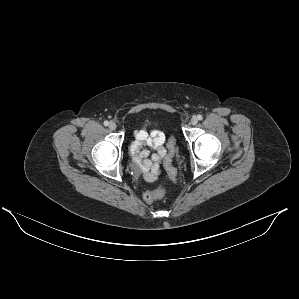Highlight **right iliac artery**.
Listing matches in <instances>:
<instances>
[{"instance_id":"right-iliac-artery-1","label":"right iliac artery","mask_w":299,"mask_h":299,"mask_svg":"<svg viewBox=\"0 0 299 299\" xmlns=\"http://www.w3.org/2000/svg\"><path fill=\"white\" fill-rule=\"evenodd\" d=\"M104 126H108L109 122L108 121H104Z\"/></svg>"}]
</instances>
